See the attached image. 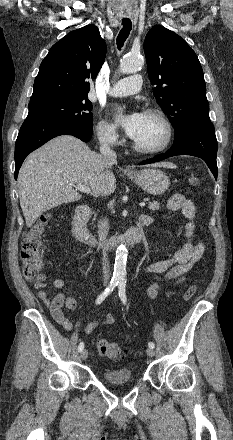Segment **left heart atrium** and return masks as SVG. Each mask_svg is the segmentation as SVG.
<instances>
[{
  "instance_id": "39dd6f15",
  "label": "left heart atrium",
  "mask_w": 233,
  "mask_h": 440,
  "mask_svg": "<svg viewBox=\"0 0 233 440\" xmlns=\"http://www.w3.org/2000/svg\"><path fill=\"white\" fill-rule=\"evenodd\" d=\"M116 123L126 132V134L134 139L138 134L142 123L144 114L141 112H127L122 107L115 110Z\"/></svg>"
}]
</instances>
